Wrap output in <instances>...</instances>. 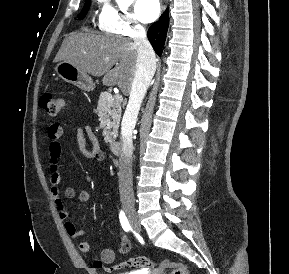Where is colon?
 I'll return each instance as SVG.
<instances>
[{
  "mask_svg": "<svg viewBox=\"0 0 289 274\" xmlns=\"http://www.w3.org/2000/svg\"><path fill=\"white\" fill-rule=\"evenodd\" d=\"M40 107L45 110L49 115H57L63 108V100L50 93H45L41 96L39 101ZM95 268H102L100 261L94 262ZM157 271L171 270V274H190L189 269L180 263L164 259L156 266L154 261L145 256H137L128 260L122 261L114 266L107 268L108 271L116 270H131L148 272L151 269Z\"/></svg>",
  "mask_w": 289,
  "mask_h": 274,
  "instance_id": "colon-1",
  "label": "colon"
}]
</instances>
